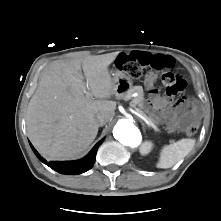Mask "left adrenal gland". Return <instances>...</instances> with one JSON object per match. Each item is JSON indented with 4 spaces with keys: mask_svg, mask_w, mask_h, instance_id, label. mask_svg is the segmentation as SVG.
<instances>
[{
    "mask_svg": "<svg viewBox=\"0 0 221 221\" xmlns=\"http://www.w3.org/2000/svg\"><path fill=\"white\" fill-rule=\"evenodd\" d=\"M140 122H141V124L143 126V129H145V127H146L145 123L142 120H140Z\"/></svg>",
    "mask_w": 221,
    "mask_h": 221,
    "instance_id": "1",
    "label": "left adrenal gland"
}]
</instances>
